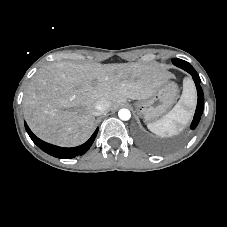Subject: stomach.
<instances>
[{"instance_id":"obj_1","label":"stomach","mask_w":227,"mask_h":227,"mask_svg":"<svg viewBox=\"0 0 227 227\" xmlns=\"http://www.w3.org/2000/svg\"><path fill=\"white\" fill-rule=\"evenodd\" d=\"M177 96V84L167 81L153 96L137 102L135 109L145 122H151L165 114L176 102Z\"/></svg>"}]
</instances>
